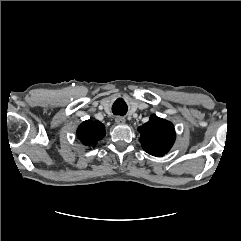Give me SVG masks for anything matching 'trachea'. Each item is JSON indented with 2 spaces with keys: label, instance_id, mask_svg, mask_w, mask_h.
Wrapping results in <instances>:
<instances>
[{
  "label": "trachea",
  "instance_id": "obj_1",
  "mask_svg": "<svg viewBox=\"0 0 241 241\" xmlns=\"http://www.w3.org/2000/svg\"><path fill=\"white\" fill-rule=\"evenodd\" d=\"M128 111L127 104L122 100L118 99L115 101V103L112 106V112L115 115H125Z\"/></svg>",
  "mask_w": 241,
  "mask_h": 241
}]
</instances>
